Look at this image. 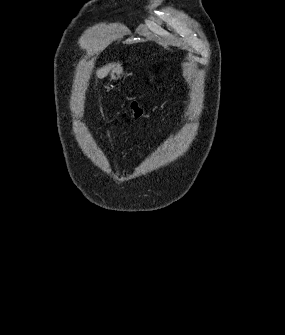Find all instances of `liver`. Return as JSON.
Listing matches in <instances>:
<instances>
[{
	"label": "liver",
	"mask_w": 285,
	"mask_h": 335,
	"mask_svg": "<svg viewBox=\"0 0 285 335\" xmlns=\"http://www.w3.org/2000/svg\"><path fill=\"white\" fill-rule=\"evenodd\" d=\"M113 66L110 64V66H104V68H100V70H97V74H99V78H105L107 76L108 72L112 70Z\"/></svg>",
	"instance_id": "obj_1"
}]
</instances>
